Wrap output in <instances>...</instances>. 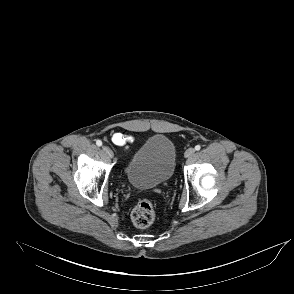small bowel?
Segmentation results:
<instances>
[{
	"label": "small bowel",
	"mask_w": 294,
	"mask_h": 294,
	"mask_svg": "<svg viewBox=\"0 0 294 294\" xmlns=\"http://www.w3.org/2000/svg\"><path fill=\"white\" fill-rule=\"evenodd\" d=\"M134 141V137L129 134L116 132L112 136V142L117 146H127Z\"/></svg>",
	"instance_id": "small-bowel-1"
}]
</instances>
